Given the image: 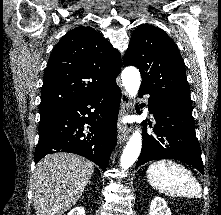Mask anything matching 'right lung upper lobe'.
Wrapping results in <instances>:
<instances>
[{
  "label": "right lung upper lobe",
  "mask_w": 221,
  "mask_h": 215,
  "mask_svg": "<svg viewBox=\"0 0 221 215\" xmlns=\"http://www.w3.org/2000/svg\"><path fill=\"white\" fill-rule=\"evenodd\" d=\"M117 49L91 27H77L54 47L45 69L40 113L62 108L116 82Z\"/></svg>",
  "instance_id": "1"
}]
</instances>
